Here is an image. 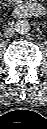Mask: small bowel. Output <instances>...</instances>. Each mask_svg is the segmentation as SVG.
<instances>
[{"label": "small bowel", "mask_w": 47, "mask_h": 129, "mask_svg": "<svg viewBox=\"0 0 47 129\" xmlns=\"http://www.w3.org/2000/svg\"><path fill=\"white\" fill-rule=\"evenodd\" d=\"M10 3L14 4L17 3L18 0H8Z\"/></svg>", "instance_id": "obj_1"}]
</instances>
